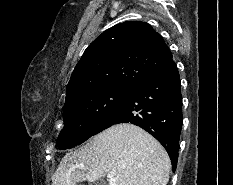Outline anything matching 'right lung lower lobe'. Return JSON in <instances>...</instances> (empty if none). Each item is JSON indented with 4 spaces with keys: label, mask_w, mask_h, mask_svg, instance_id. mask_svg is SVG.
Listing matches in <instances>:
<instances>
[{
    "label": "right lung lower lobe",
    "mask_w": 233,
    "mask_h": 185,
    "mask_svg": "<svg viewBox=\"0 0 233 185\" xmlns=\"http://www.w3.org/2000/svg\"><path fill=\"white\" fill-rule=\"evenodd\" d=\"M182 120L181 84L173 62L136 84L94 135L117 123L138 125L166 148L175 172Z\"/></svg>",
    "instance_id": "right-lung-lower-lobe-1"
}]
</instances>
